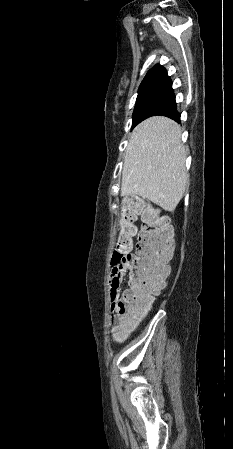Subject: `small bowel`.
Masks as SVG:
<instances>
[{"label": "small bowel", "instance_id": "small-bowel-1", "mask_svg": "<svg viewBox=\"0 0 233 449\" xmlns=\"http://www.w3.org/2000/svg\"><path fill=\"white\" fill-rule=\"evenodd\" d=\"M128 265L115 264L111 270L109 277L110 300L112 308H116L117 303L121 299V287L126 276Z\"/></svg>", "mask_w": 233, "mask_h": 449}]
</instances>
